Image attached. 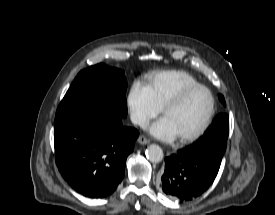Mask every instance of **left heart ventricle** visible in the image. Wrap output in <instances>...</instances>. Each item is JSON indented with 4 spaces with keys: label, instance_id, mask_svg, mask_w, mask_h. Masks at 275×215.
Returning a JSON list of instances; mask_svg holds the SVG:
<instances>
[{
    "label": "left heart ventricle",
    "instance_id": "b2bd125f",
    "mask_svg": "<svg viewBox=\"0 0 275 215\" xmlns=\"http://www.w3.org/2000/svg\"><path fill=\"white\" fill-rule=\"evenodd\" d=\"M210 108L209 94L197 89L188 94L177 106L164 116L174 129L176 136H184L199 127Z\"/></svg>",
    "mask_w": 275,
    "mask_h": 215
}]
</instances>
